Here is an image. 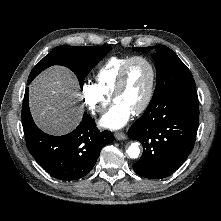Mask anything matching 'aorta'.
I'll use <instances>...</instances> for the list:
<instances>
[{
	"label": "aorta",
	"instance_id": "obj_1",
	"mask_svg": "<svg viewBox=\"0 0 221 221\" xmlns=\"http://www.w3.org/2000/svg\"><path fill=\"white\" fill-rule=\"evenodd\" d=\"M126 153L130 158H138L140 154L139 144L131 143L128 149L126 150Z\"/></svg>",
	"mask_w": 221,
	"mask_h": 221
}]
</instances>
